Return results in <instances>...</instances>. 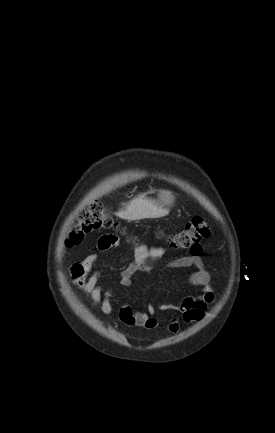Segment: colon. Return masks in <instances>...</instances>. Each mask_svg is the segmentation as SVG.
Segmentation results:
<instances>
[{"instance_id":"obj_1","label":"colon","mask_w":275,"mask_h":433,"mask_svg":"<svg viewBox=\"0 0 275 433\" xmlns=\"http://www.w3.org/2000/svg\"><path fill=\"white\" fill-rule=\"evenodd\" d=\"M117 221L107 207L93 203L79 213L78 219L68 231L67 246L80 244L84 237L101 229L117 228ZM211 228L202 217L192 218L182 229L169 235L168 242L176 249L189 250L192 253L197 245L209 238Z\"/></svg>"}]
</instances>
